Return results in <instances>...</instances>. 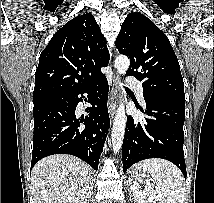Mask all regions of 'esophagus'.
I'll return each instance as SVG.
<instances>
[{
    "label": "esophagus",
    "instance_id": "esophagus-1",
    "mask_svg": "<svg viewBox=\"0 0 214 203\" xmlns=\"http://www.w3.org/2000/svg\"><path fill=\"white\" fill-rule=\"evenodd\" d=\"M118 90H119V76L116 73H113L112 89L108 100V111H109L111 120L113 119L115 110H116V99L118 95Z\"/></svg>",
    "mask_w": 214,
    "mask_h": 203
}]
</instances>
